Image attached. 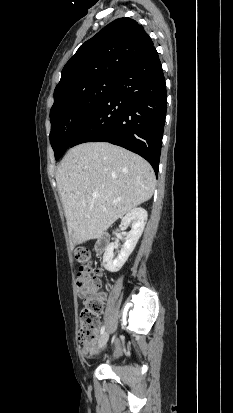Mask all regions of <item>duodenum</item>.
Wrapping results in <instances>:
<instances>
[{"label": "duodenum", "instance_id": "410a0bca", "mask_svg": "<svg viewBox=\"0 0 233 413\" xmlns=\"http://www.w3.org/2000/svg\"><path fill=\"white\" fill-rule=\"evenodd\" d=\"M108 242H109V236L106 233L100 234L95 243V250L98 253L103 252L106 249Z\"/></svg>", "mask_w": 233, "mask_h": 413}]
</instances>
